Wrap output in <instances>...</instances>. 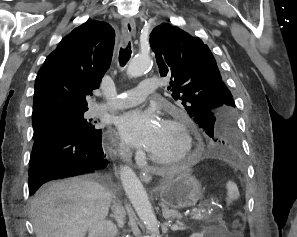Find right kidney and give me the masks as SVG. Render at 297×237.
<instances>
[{
    "instance_id": "right-kidney-1",
    "label": "right kidney",
    "mask_w": 297,
    "mask_h": 237,
    "mask_svg": "<svg viewBox=\"0 0 297 237\" xmlns=\"http://www.w3.org/2000/svg\"><path fill=\"white\" fill-rule=\"evenodd\" d=\"M117 234L118 229L111 221L102 220L90 226L88 237H116Z\"/></svg>"
}]
</instances>
